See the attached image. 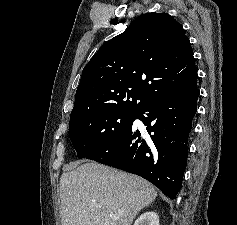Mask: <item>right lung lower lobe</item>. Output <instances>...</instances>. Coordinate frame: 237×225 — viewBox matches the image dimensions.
I'll return each mask as SVG.
<instances>
[{
	"instance_id": "1",
	"label": "right lung lower lobe",
	"mask_w": 237,
	"mask_h": 225,
	"mask_svg": "<svg viewBox=\"0 0 237 225\" xmlns=\"http://www.w3.org/2000/svg\"><path fill=\"white\" fill-rule=\"evenodd\" d=\"M197 84L165 90L135 113L148 134L131 125L104 148L86 159L139 175L170 199L177 196L187 165L188 136L197 111Z\"/></svg>"
}]
</instances>
